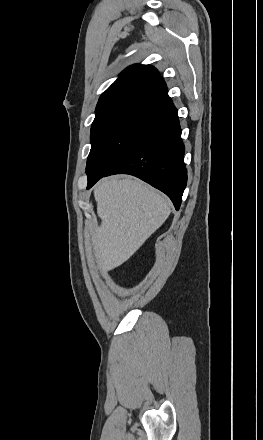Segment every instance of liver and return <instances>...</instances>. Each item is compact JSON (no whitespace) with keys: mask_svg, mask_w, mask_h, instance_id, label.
I'll use <instances>...</instances> for the list:
<instances>
[{"mask_svg":"<svg viewBox=\"0 0 263 440\" xmlns=\"http://www.w3.org/2000/svg\"><path fill=\"white\" fill-rule=\"evenodd\" d=\"M94 197L102 222L92 242L102 273L127 261L171 212L162 195L132 178L102 179L94 188Z\"/></svg>","mask_w":263,"mask_h":440,"instance_id":"6515ba94","label":"liver"}]
</instances>
